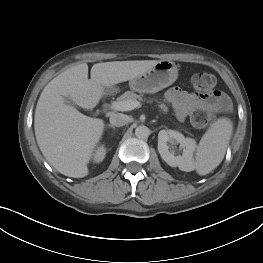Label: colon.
<instances>
[{"instance_id": "colon-1", "label": "colon", "mask_w": 263, "mask_h": 263, "mask_svg": "<svg viewBox=\"0 0 263 263\" xmlns=\"http://www.w3.org/2000/svg\"><path fill=\"white\" fill-rule=\"evenodd\" d=\"M191 83L195 94L208 97L215 94L216 78L210 72H196L191 78ZM214 114L212 108L201 107L196 109L190 117L194 127L203 129L208 127L213 121Z\"/></svg>"}]
</instances>
